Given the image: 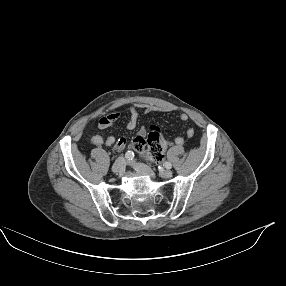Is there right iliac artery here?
<instances>
[{
  "instance_id": "obj_1",
  "label": "right iliac artery",
  "mask_w": 286,
  "mask_h": 286,
  "mask_svg": "<svg viewBox=\"0 0 286 286\" xmlns=\"http://www.w3.org/2000/svg\"><path fill=\"white\" fill-rule=\"evenodd\" d=\"M125 157L130 161L134 158V153L132 151H127Z\"/></svg>"
}]
</instances>
